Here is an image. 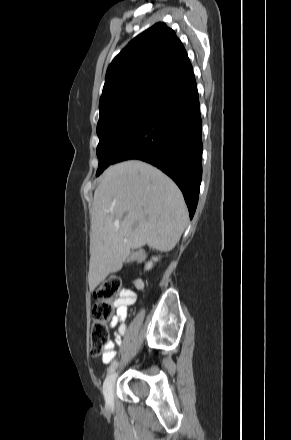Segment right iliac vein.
Listing matches in <instances>:
<instances>
[{
	"label": "right iliac vein",
	"mask_w": 291,
	"mask_h": 440,
	"mask_svg": "<svg viewBox=\"0 0 291 440\" xmlns=\"http://www.w3.org/2000/svg\"><path fill=\"white\" fill-rule=\"evenodd\" d=\"M116 377H117L116 373L113 372L110 373L104 381L103 391H104L105 401L108 405L113 404L114 385H115Z\"/></svg>",
	"instance_id": "1"
}]
</instances>
